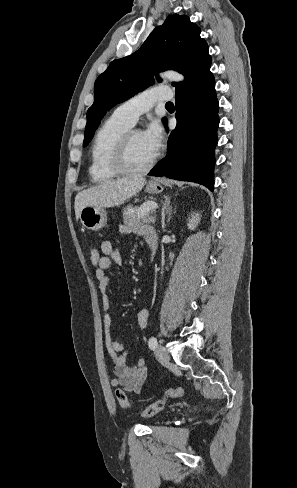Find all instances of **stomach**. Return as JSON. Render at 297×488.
Segmentation results:
<instances>
[{
    "mask_svg": "<svg viewBox=\"0 0 297 488\" xmlns=\"http://www.w3.org/2000/svg\"><path fill=\"white\" fill-rule=\"evenodd\" d=\"M163 187L159 182H150L146 186V191L150 194L162 192ZM80 221L89 230L97 231L101 229L107 221V212L104 208L85 206L80 212Z\"/></svg>",
    "mask_w": 297,
    "mask_h": 488,
    "instance_id": "1",
    "label": "stomach"
}]
</instances>
